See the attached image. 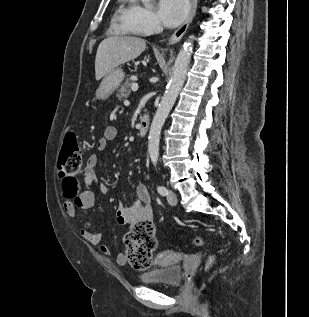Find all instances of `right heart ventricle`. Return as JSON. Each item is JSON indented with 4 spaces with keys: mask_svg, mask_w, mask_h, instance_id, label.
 Here are the masks:
<instances>
[{
    "mask_svg": "<svg viewBox=\"0 0 309 317\" xmlns=\"http://www.w3.org/2000/svg\"><path fill=\"white\" fill-rule=\"evenodd\" d=\"M127 1L128 0H121L122 5L117 11L116 22L122 33L136 34V31L132 29L126 21V17L130 8V6H127Z\"/></svg>",
    "mask_w": 309,
    "mask_h": 317,
    "instance_id": "obj_1",
    "label": "right heart ventricle"
}]
</instances>
